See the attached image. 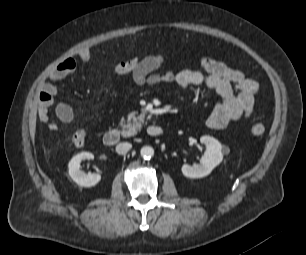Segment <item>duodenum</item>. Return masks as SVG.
Listing matches in <instances>:
<instances>
[{
    "mask_svg": "<svg viewBox=\"0 0 306 255\" xmlns=\"http://www.w3.org/2000/svg\"><path fill=\"white\" fill-rule=\"evenodd\" d=\"M147 133L151 137H159L163 133V129L160 126L151 125L147 128ZM121 138V133L119 129L112 128L107 130L103 136V142L107 146L116 145Z\"/></svg>",
    "mask_w": 306,
    "mask_h": 255,
    "instance_id": "410a0bca",
    "label": "duodenum"
}]
</instances>
